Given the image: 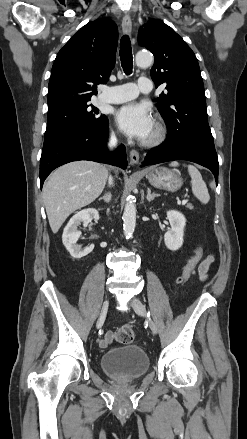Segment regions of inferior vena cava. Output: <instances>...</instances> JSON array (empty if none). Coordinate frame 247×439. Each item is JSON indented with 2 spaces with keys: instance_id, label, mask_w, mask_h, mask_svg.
<instances>
[{
  "instance_id": "602c4592",
  "label": "inferior vena cava",
  "mask_w": 247,
  "mask_h": 439,
  "mask_svg": "<svg viewBox=\"0 0 247 439\" xmlns=\"http://www.w3.org/2000/svg\"><path fill=\"white\" fill-rule=\"evenodd\" d=\"M116 145H117L116 137H115L114 134H112L111 137H110L108 146H109L110 149H113L114 147H116ZM108 183H109V185L113 184V179H112L111 176L109 177Z\"/></svg>"
}]
</instances>
